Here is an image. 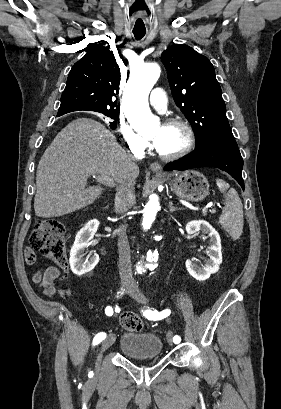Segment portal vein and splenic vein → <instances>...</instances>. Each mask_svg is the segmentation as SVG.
Wrapping results in <instances>:
<instances>
[{"label":"portal vein and splenic vein","instance_id":"obj_1","mask_svg":"<svg viewBox=\"0 0 281 409\" xmlns=\"http://www.w3.org/2000/svg\"><path fill=\"white\" fill-rule=\"evenodd\" d=\"M97 183L99 185H105L106 189H113L114 185L116 187L119 185L117 182L114 184V180H113V178H111V176H99L97 178ZM210 213L211 214H216L217 210L216 209H211ZM204 216H207V213H204Z\"/></svg>","mask_w":281,"mask_h":409}]
</instances>
